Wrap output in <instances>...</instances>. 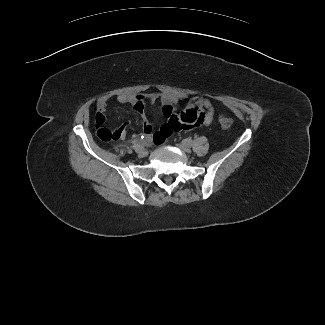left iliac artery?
<instances>
[{"mask_svg": "<svg viewBox=\"0 0 325 325\" xmlns=\"http://www.w3.org/2000/svg\"><path fill=\"white\" fill-rule=\"evenodd\" d=\"M183 143L188 145V146H191L192 145V139L191 138H186L183 140Z\"/></svg>", "mask_w": 325, "mask_h": 325, "instance_id": "obj_1", "label": "left iliac artery"}]
</instances>
